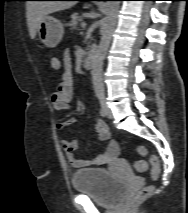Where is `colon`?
Here are the masks:
<instances>
[{"instance_id": "5ec220e1", "label": "colon", "mask_w": 188, "mask_h": 213, "mask_svg": "<svg viewBox=\"0 0 188 213\" xmlns=\"http://www.w3.org/2000/svg\"><path fill=\"white\" fill-rule=\"evenodd\" d=\"M51 66L53 69H59L61 64L59 62V60L56 57H53L51 59ZM137 152L139 155L141 156H145L148 154V149L145 146H139L137 148ZM150 164L152 166V177L153 178H157L159 176L160 173V162L159 159L155 156V155H151L149 158ZM135 168L138 171H144L146 169V164L143 161H137L135 163ZM152 192V188L145 186L142 187L141 189H139L132 197H131V201L133 203H137L139 201H142L144 199H146Z\"/></svg>"}]
</instances>
